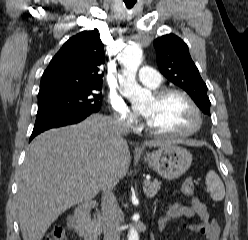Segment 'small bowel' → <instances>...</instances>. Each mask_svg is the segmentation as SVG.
Returning a JSON list of instances; mask_svg holds the SVG:
<instances>
[{
	"instance_id": "small-bowel-1",
	"label": "small bowel",
	"mask_w": 248,
	"mask_h": 240,
	"mask_svg": "<svg viewBox=\"0 0 248 240\" xmlns=\"http://www.w3.org/2000/svg\"><path fill=\"white\" fill-rule=\"evenodd\" d=\"M182 217L198 219L196 223H183L185 229L198 233L207 240H219L221 229L218 222L210 218L206 205L198 199H192L189 206L179 202L171 203L168 211L158 221L159 229L164 231L170 221Z\"/></svg>"
}]
</instances>
